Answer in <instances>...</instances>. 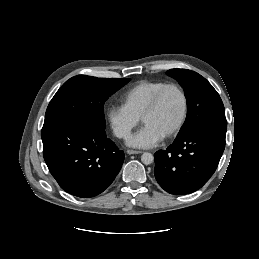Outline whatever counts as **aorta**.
<instances>
[{"label": "aorta", "mask_w": 259, "mask_h": 259, "mask_svg": "<svg viewBox=\"0 0 259 259\" xmlns=\"http://www.w3.org/2000/svg\"><path fill=\"white\" fill-rule=\"evenodd\" d=\"M141 161L145 165H149L154 161V156L151 153L145 152L141 156Z\"/></svg>", "instance_id": "obj_1"}]
</instances>
